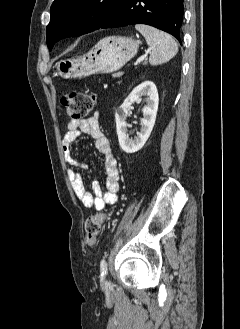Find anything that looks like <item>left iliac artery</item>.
I'll return each instance as SVG.
<instances>
[{
  "label": "left iliac artery",
  "instance_id": "obj_1",
  "mask_svg": "<svg viewBox=\"0 0 240 329\" xmlns=\"http://www.w3.org/2000/svg\"><path fill=\"white\" fill-rule=\"evenodd\" d=\"M107 262L105 259H102L100 262V271H101V276H105L107 274Z\"/></svg>",
  "mask_w": 240,
  "mask_h": 329
}]
</instances>
